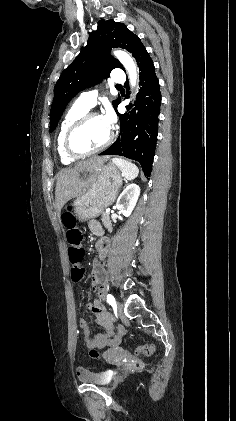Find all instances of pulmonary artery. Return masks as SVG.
I'll list each match as a JSON object with an SVG mask.
<instances>
[{"label":"pulmonary artery","mask_w":236,"mask_h":421,"mask_svg":"<svg viewBox=\"0 0 236 421\" xmlns=\"http://www.w3.org/2000/svg\"><path fill=\"white\" fill-rule=\"evenodd\" d=\"M110 81L112 82L111 86H121L125 81V71L123 69H114L110 76ZM97 96V90L88 91L78 97L76 104L85 110H90L96 105Z\"/></svg>","instance_id":"1"}]
</instances>
